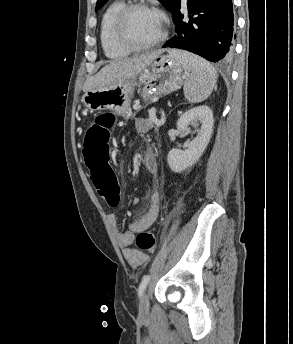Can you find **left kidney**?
Instances as JSON below:
<instances>
[{"label": "left kidney", "instance_id": "5707ae66", "mask_svg": "<svg viewBox=\"0 0 293 344\" xmlns=\"http://www.w3.org/2000/svg\"><path fill=\"white\" fill-rule=\"evenodd\" d=\"M213 113L206 106L194 107L183 113L177 121V129L187 134L189 125L197 128V136L188 143L186 150L172 149L169 151L167 161L170 169L180 173L194 165L205 151L213 132Z\"/></svg>", "mask_w": 293, "mask_h": 344}]
</instances>
